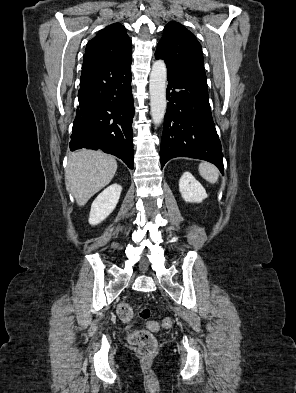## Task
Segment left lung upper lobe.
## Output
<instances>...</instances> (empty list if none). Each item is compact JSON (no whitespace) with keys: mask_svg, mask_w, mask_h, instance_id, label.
<instances>
[{"mask_svg":"<svg viewBox=\"0 0 296 393\" xmlns=\"http://www.w3.org/2000/svg\"><path fill=\"white\" fill-rule=\"evenodd\" d=\"M155 57L164 59L167 68L205 75L201 45L194 34L178 22L165 26Z\"/></svg>","mask_w":296,"mask_h":393,"instance_id":"left-lung-upper-lobe-1","label":"left lung upper lobe"}]
</instances>
